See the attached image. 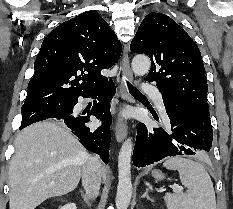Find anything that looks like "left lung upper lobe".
<instances>
[{
    "mask_svg": "<svg viewBox=\"0 0 233 209\" xmlns=\"http://www.w3.org/2000/svg\"><path fill=\"white\" fill-rule=\"evenodd\" d=\"M151 60L146 77L163 95L209 115L205 69L196 43L173 19L151 12L142 21L130 46Z\"/></svg>",
    "mask_w": 233,
    "mask_h": 209,
    "instance_id": "obj_1",
    "label": "left lung upper lobe"
}]
</instances>
